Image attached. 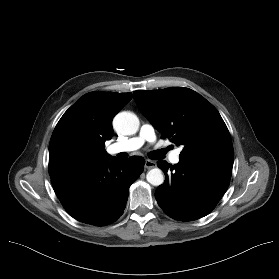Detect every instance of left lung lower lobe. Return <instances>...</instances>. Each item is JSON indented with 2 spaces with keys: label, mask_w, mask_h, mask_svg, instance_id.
Returning <instances> with one entry per match:
<instances>
[{
  "label": "left lung lower lobe",
  "mask_w": 279,
  "mask_h": 279,
  "mask_svg": "<svg viewBox=\"0 0 279 279\" xmlns=\"http://www.w3.org/2000/svg\"><path fill=\"white\" fill-rule=\"evenodd\" d=\"M169 165L158 161L165 181L155 192L163 211L173 219L196 220L209 214L227 190L233 161L179 157Z\"/></svg>",
  "instance_id": "0a47b994"
}]
</instances>
